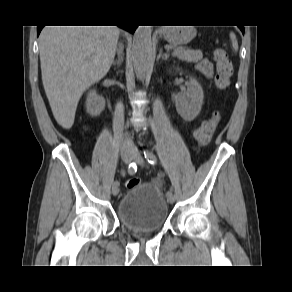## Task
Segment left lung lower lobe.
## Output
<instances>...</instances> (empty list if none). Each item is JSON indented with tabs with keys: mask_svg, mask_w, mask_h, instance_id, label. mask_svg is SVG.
Instances as JSON below:
<instances>
[{
	"mask_svg": "<svg viewBox=\"0 0 292 292\" xmlns=\"http://www.w3.org/2000/svg\"><path fill=\"white\" fill-rule=\"evenodd\" d=\"M239 28H240L241 31L244 33V27H243V26H239Z\"/></svg>",
	"mask_w": 292,
	"mask_h": 292,
	"instance_id": "obj_1",
	"label": "left lung lower lobe"
}]
</instances>
